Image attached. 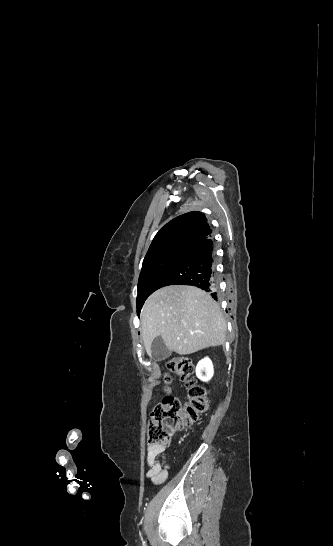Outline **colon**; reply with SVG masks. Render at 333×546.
<instances>
[{
    "mask_svg": "<svg viewBox=\"0 0 333 546\" xmlns=\"http://www.w3.org/2000/svg\"><path fill=\"white\" fill-rule=\"evenodd\" d=\"M168 369L186 384L189 402L182 406L177 398L167 395L153 409L148 426V442L164 447L169 444L175 431L190 426L209 409L207 389L196 381L194 365L190 359L174 357L168 362Z\"/></svg>",
    "mask_w": 333,
    "mask_h": 546,
    "instance_id": "obj_1",
    "label": "colon"
}]
</instances>
